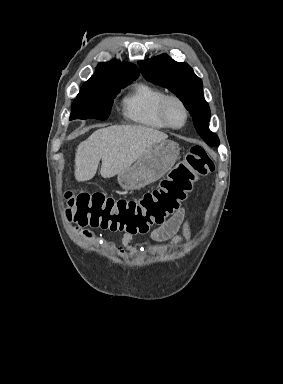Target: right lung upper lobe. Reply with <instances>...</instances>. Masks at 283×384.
Segmentation results:
<instances>
[{"mask_svg":"<svg viewBox=\"0 0 283 384\" xmlns=\"http://www.w3.org/2000/svg\"><path fill=\"white\" fill-rule=\"evenodd\" d=\"M139 76L134 64L121 63L117 60L99 63L94 75L86 81L81 89L105 84L132 82Z\"/></svg>","mask_w":283,"mask_h":384,"instance_id":"cb5924a9","label":"right lung upper lobe"}]
</instances>
